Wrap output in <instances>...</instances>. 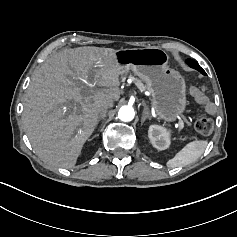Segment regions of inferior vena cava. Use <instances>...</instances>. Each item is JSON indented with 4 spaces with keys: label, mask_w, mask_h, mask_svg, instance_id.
Listing matches in <instances>:
<instances>
[{
    "label": "inferior vena cava",
    "mask_w": 237,
    "mask_h": 237,
    "mask_svg": "<svg viewBox=\"0 0 237 237\" xmlns=\"http://www.w3.org/2000/svg\"><path fill=\"white\" fill-rule=\"evenodd\" d=\"M114 104L113 100L112 99H103L101 102H100V106L101 108L105 109V108H109V107H112Z\"/></svg>",
    "instance_id": "inferior-vena-cava-1"
}]
</instances>
